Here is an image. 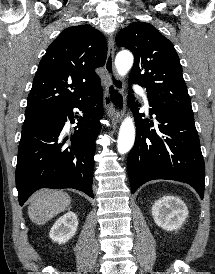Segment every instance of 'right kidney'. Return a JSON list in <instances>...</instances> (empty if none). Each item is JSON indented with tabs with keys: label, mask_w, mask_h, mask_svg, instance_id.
Listing matches in <instances>:
<instances>
[{
	"label": "right kidney",
	"mask_w": 215,
	"mask_h": 274,
	"mask_svg": "<svg viewBox=\"0 0 215 274\" xmlns=\"http://www.w3.org/2000/svg\"><path fill=\"white\" fill-rule=\"evenodd\" d=\"M78 219L74 212L69 211L60 217L50 230V238L59 243H65L70 240L76 233Z\"/></svg>",
	"instance_id": "ca27d5eb"
}]
</instances>
